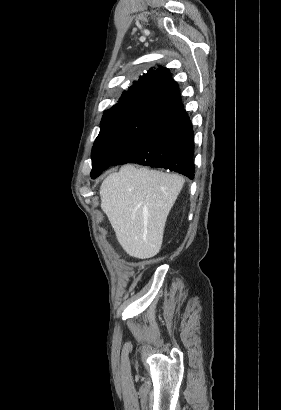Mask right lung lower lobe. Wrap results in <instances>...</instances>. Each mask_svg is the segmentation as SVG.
Wrapping results in <instances>:
<instances>
[{
	"label": "right lung lower lobe",
	"mask_w": 281,
	"mask_h": 410,
	"mask_svg": "<svg viewBox=\"0 0 281 410\" xmlns=\"http://www.w3.org/2000/svg\"><path fill=\"white\" fill-rule=\"evenodd\" d=\"M194 133L179 103L148 128L112 165L136 163L194 178Z\"/></svg>",
	"instance_id": "obj_1"
}]
</instances>
